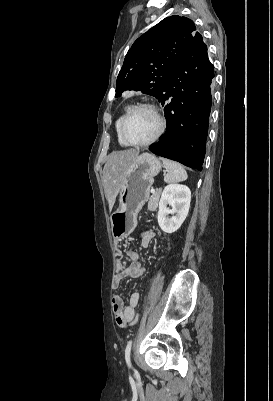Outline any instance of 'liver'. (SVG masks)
<instances>
[{"label":"liver","instance_id":"1","mask_svg":"<svg viewBox=\"0 0 273 401\" xmlns=\"http://www.w3.org/2000/svg\"><path fill=\"white\" fill-rule=\"evenodd\" d=\"M138 156L137 148L113 150L111 154H108L103 168V184L108 198L109 211H112L116 196L125 182V170L137 160Z\"/></svg>","mask_w":273,"mask_h":401}]
</instances>
